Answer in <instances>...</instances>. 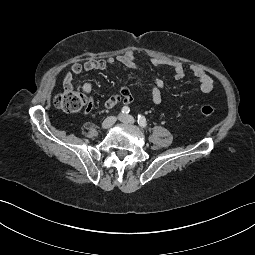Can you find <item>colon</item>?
Segmentation results:
<instances>
[{"instance_id": "5ec220e1", "label": "colon", "mask_w": 255, "mask_h": 255, "mask_svg": "<svg viewBox=\"0 0 255 255\" xmlns=\"http://www.w3.org/2000/svg\"><path fill=\"white\" fill-rule=\"evenodd\" d=\"M54 103L58 109L69 113L91 107L89 98L74 88L71 83L65 84L64 90L55 97ZM199 111L202 115L211 117L215 109L211 105H202Z\"/></svg>"}]
</instances>
